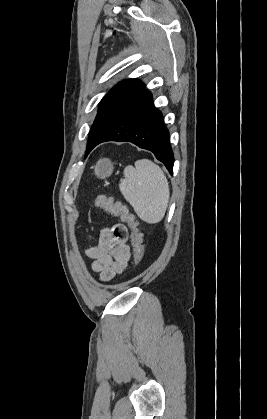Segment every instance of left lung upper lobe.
I'll return each instance as SVG.
<instances>
[{
    "label": "left lung upper lobe",
    "mask_w": 267,
    "mask_h": 419,
    "mask_svg": "<svg viewBox=\"0 0 267 419\" xmlns=\"http://www.w3.org/2000/svg\"><path fill=\"white\" fill-rule=\"evenodd\" d=\"M143 89L145 86L141 81L127 79L118 83L105 95L99 104L98 114L91 127L87 149L112 128L114 112L128 107Z\"/></svg>",
    "instance_id": "obj_1"
}]
</instances>
